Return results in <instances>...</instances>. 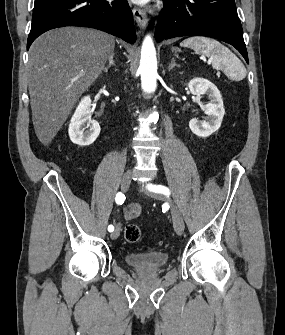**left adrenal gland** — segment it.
<instances>
[{"label": "left adrenal gland", "instance_id": "a2214340", "mask_svg": "<svg viewBox=\"0 0 285 335\" xmlns=\"http://www.w3.org/2000/svg\"><path fill=\"white\" fill-rule=\"evenodd\" d=\"M175 66H177V68H180L179 64H176L174 58H172L171 64H169V66H168V72H171V70H173V68H175Z\"/></svg>", "mask_w": 285, "mask_h": 335}]
</instances>
